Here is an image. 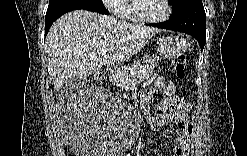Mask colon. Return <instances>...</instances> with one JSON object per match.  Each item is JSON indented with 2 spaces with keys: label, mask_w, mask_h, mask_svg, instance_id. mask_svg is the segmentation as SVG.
I'll return each mask as SVG.
<instances>
[{
  "label": "colon",
  "mask_w": 247,
  "mask_h": 156,
  "mask_svg": "<svg viewBox=\"0 0 247 156\" xmlns=\"http://www.w3.org/2000/svg\"><path fill=\"white\" fill-rule=\"evenodd\" d=\"M186 57L184 54L176 56L171 62V70L179 79L185 77ZM166 103H171V98H160L156 101V106H166Z\"/></svg>",
  "instance_id": "colon-1"
}]
</instances>
